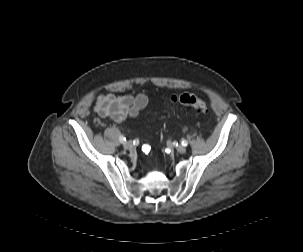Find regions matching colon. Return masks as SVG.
I'll return each instance as SVG.
<instances>
[{
	"label": "colon",
	"instance_id": "1",
	"mask_svg": "<svg viewBox=\"0 0 303 252\" xmlns=\"http://www.w3.org/2000/svg\"><path fill=\"white\" fill-rule=\"evenodd\" d=\"M173 103L189 106L198 113H206L208 111L207 103L192 93H183L171 96Z\"/></svg>",
	"mask_w": 303,
	"mask_h": 252
}]
</instances>
